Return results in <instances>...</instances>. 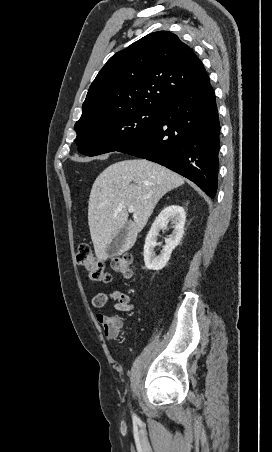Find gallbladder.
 Returning <instances> with one entry per match:
<instances>
[{
  "mask_svg": "<svg viewBox=\"0 0 272 452\" xmlns=\"http://www.w3.org/2000/svg\"><path fill=\"white\" fill-rule=\"evenodd\" d=\"M128 233V225L125 224L120 232L113 238L112 242L107 247L108 254H117L123 247Z\"/></svg>",
  "mask_w": 272,
  "mask_h": 452,
  "instance_id": "gallbladder-1",
  "label": "gallbladder"
}]
</instances>
